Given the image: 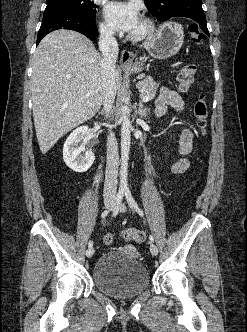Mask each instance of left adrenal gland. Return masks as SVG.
<instances>
[{
  "label": "left adrenal gland",
  "instance_id": "left-adrenal-gland-1",
  "mask_svg": "<svg viewBox=\"0 0 247 332\" xmlns=\"http://www.w3.org/2000/svg\"><path fill=\"white\" fill-rule=\"evenodd\" d=\"M149 111V108H146L143 106V103L140 101L139 105H138V115L141 118H146L147 117V113Z\"/></svg>",
  "mask_w": 247,
  "mask_h": 332
}]
</instances>
